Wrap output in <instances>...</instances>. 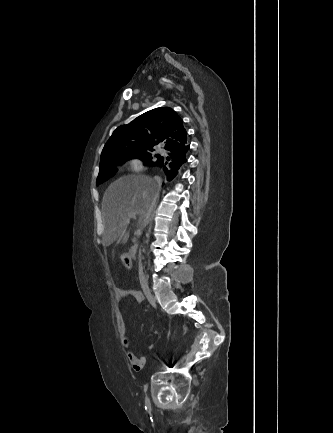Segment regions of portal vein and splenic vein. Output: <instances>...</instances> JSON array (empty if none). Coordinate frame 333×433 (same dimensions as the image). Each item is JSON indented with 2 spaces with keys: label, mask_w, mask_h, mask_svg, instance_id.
I'll use <instances>...</instances> for the list:
<instances>
[{
  "label": "portal vein and splenic vein",
  "mask_w": 333,
  "mask_h": 433,
  "mask_svg": "<svg viewBox=\"0 0 333 433\" xmlns=\"http://www.w3.org/2000/svg\"><path fill=\"white\" fill-rule=\"evenodd\" d=\"M131 219H133V220L136 219V213H134V212H133V213H129V214H128V217H127L126 220H125V222H126V223H129ZM141 233H142V232H141L140 229H138V230L135 231V235H136V236H140ZM135 246H138V244L135 243Z\"/></svg>",
  "instance_id": "18ae733b"
}]
</instances>
